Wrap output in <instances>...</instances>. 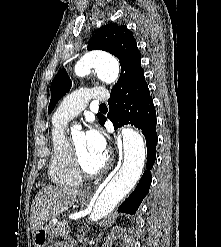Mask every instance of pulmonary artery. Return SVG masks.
I'll use <instances>...</instances> for the list:
<instances>
[{
	"label": "pulmonary artery",
	"mask_w": 221,
	"mask_h": 247,
	"mask_svg": "<svg viewBox=\"0 0 221 247\" xmlns=\"http://www.w3.org/2000/svg\"><path fill=\"white\" fill-rule=\"evenodd\" d=\"M108 97L106 90L80 88L64 98L54 114V119L66 123L79 115L91 99L106 100Z\"/></svg>",
	"instance_id": "1"
}]
</instances>
